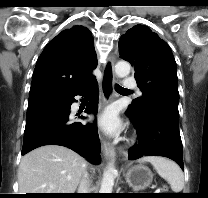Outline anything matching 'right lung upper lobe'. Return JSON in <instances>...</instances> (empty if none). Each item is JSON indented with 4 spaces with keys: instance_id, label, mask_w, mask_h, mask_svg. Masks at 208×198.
Here are the masks:
<instances>
[{
    "instance_id": "1",
    "label": "right lung upper lobe",
    "mask_w": 208,
    "mask_h": 198,
    "mask_svg": "<svg viewBox=\"0 0 208 198\" xmlns=\"http://www.w3.org/2000/svg\"><path fill=\"white\" fill-rule=\"evenodd\" d=\"M97 56L90 30L75 25L45 47L35 66L28 106L70 96L94 78Z\"/></svg>"
}]
</instances>
